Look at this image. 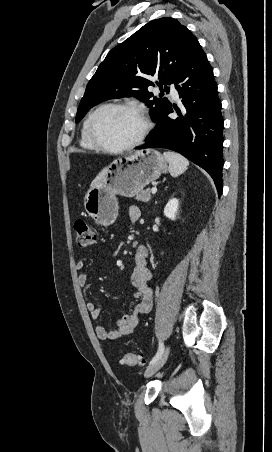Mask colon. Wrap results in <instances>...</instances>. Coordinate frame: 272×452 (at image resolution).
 Instances as JSON below:
<instances>
[{
    "label": "colon",
    "instance_id": "1",
    "mask_svg": "<svg viewBox=\"0 0 272 452\" xmlns=\"http://www.w3.org/2000/svg\"><path fill=\"white\" fill-rule=\"evenodd\" d=\"M76 242L79 248H88L95 243L96 234L94 229L84 220L79 219L74 224ZM122 363L128 366H140L143 364L141 356L134 353H124Z\"/></svg>",
    "mask_w": 272,
    "mask_h": 452
}]
</instances>
